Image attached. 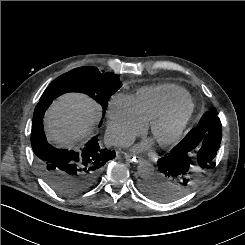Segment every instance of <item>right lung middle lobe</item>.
<instances>
[{
	"mask_svg": "<svg viewBox=\"0 0 245 245\" xmlns=\"http://www.w3.org/2000/svg\"><path fill=\"white\" fill-rule=\"evenodd\" d=\"M121 86L119 76L114 73H103L95 67H80L54 80L40 101L53 100L66 92L85 93L102 106L104 116L108 100Z\"/></svg>",
	"mask_w": 245,
	"mask_h": 245,
	"instance_id": "obj_1",
	"label": "right lung middle lobe"
}]
</instances>
